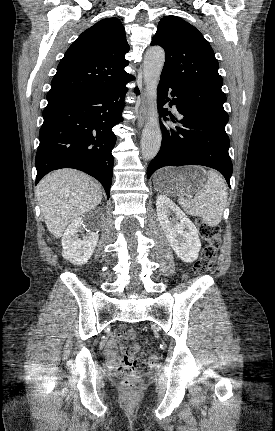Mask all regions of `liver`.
I'll use <instances>...</instances> for the list:
<instances>
[{
  "mask_svg": "<svg viewBox=\"0 0 275 431\" xmlns=\"http://www.w3.org/2000/svg\"><path fill=\"white\" fill-rule=\"evenodd\" d=\"M37 198L49 232L60 238L67 225L96 207L102 190L89 175L61 169L46 175L37 186Z\"/></svg>",
  "mask_w": 275,
  "mask_h": 431,
  "instance_id": "6515ba94",
  "label": "liver"
}]
</instances>
